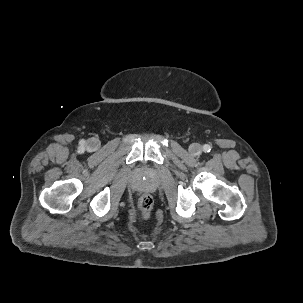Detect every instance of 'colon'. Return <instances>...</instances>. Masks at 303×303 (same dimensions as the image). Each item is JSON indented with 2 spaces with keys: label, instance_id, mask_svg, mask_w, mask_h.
Wrapping results in <instances>:
<instances>
[{
  "label": "colon",
  "instance_id": "5ec220e1",
  "mask_svg": "<svg viewBox=\"0 0 303 303\" xmlns=\"http://www.w3.org/2000/svg\"><path fill=\"white\" fill-rule=\"evenodd\" d=\"M153 207L152 197L144 194L139 201V210L143 217H148Z\"/></svg>",
  "mask_w": 303,
  "mask_h": 303
}]
</instances>
